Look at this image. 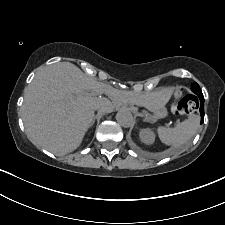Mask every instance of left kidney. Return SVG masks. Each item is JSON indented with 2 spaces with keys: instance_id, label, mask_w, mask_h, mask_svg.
Instances as JSON below:
<instances>
[{
  "instance_id": "5707ae66",
  "label": "left kidney",
  "mask_w": 225,
  "mask_h": 225,
  "mask_svg": "<svg viewBox=\"0 0 225 225\" xmlns=\"http://www.w3.org/2000/svg\"><path fill=\"white\" fill-rule=\"evenodd\" d=\"M140 139L143 143L145 144H152L155 140V134L154 132L149 129V128H146V129H142L140 131Z\"/></svg>"
}]
</instances>
